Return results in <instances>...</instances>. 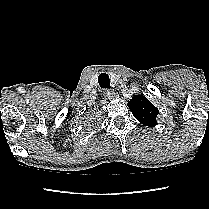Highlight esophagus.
<instances>
[{
  "label": "esophagus",
  "mask_w": 209,
  "mask_h": 209,
  "mask_svg": "<svg viewBox=\"0 0 209 209\" xmlns=\"http://www.w3.org/2000/svg\"><path fill=\"white\" fill-rule=\"evenodd\" d=\"M114 96H115L114 91H112V90H105V91H104V97H105L106 99H111V98L114 97Z\"/></svg>",
  "instance_id": "1"
}]
</instances>
